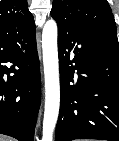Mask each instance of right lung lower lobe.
I'll list each match as a JSON object with an SVG mask.
<instances>
[{
	"instance_id": "right-lung-lower-lobe-1",
	"label": "right lung lower lobe",
	"mask_w": 119,
	"mask_h": 141,
	"mask_svg": "<svg viewBox=\"0 0 119 141\" xmlns=\"http://www.w3.org/2000/svg\"><path fill=\"white\" fill-rule=\"evenodd\" d=\"M35 28L32 19L0 32V134L19 141H33L40 107Z\"/></svg>"
}]
</instances>
